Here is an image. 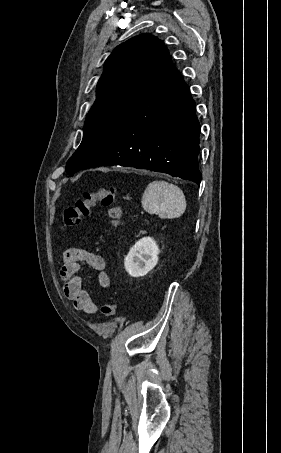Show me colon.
<instances>
[{"label":"colon","instance_id":"colon-1","mask_svg":"<svg viewBox=\"0 0 281 453\" xmlns=\"http://www.w3.org/2000/svg\"><path fill=\"white\" fill-rule=\"evenodd\" d=\"M98 204L110 207V228L122 229L126 221L122 215L123 200L117 185L101 188L93 193H86L69 205L64 213L62 225L76 228L83 225L90 216V211ZM117 311V303L108 301L102 304L101 314L105 319L112 318Z\"/></svg>","mask_w":281,"mask_h":453}]
</instances>
